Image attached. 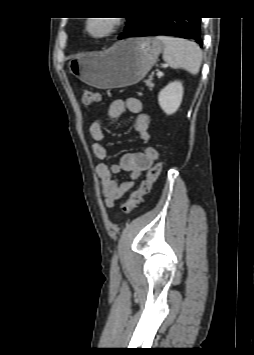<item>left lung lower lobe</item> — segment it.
I'll use <instances>...</instances> for the list:
<instances>
[{"label": "left lung lower lobe", "mask_w": 254, "mask_h": 355, "mask_svg": "<svg viewBox=\"0 0 254 355\" xmlns=\"http://www.w3.org/2000/svg\"><path fill=\"white\" fill-rule=\"evenodd\" d=\"M155 35L191 39L202 46L200 17H139L135 25L119 39Z\"/></svg>", "instance_id": "1"}]
</instances>
